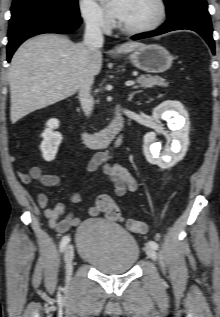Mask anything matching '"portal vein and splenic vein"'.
<instances>
[{
	"label": "portal vein and splenic vein",
	"mask_w": 220,
	"mask_h": 317,
	"mask_svg": "<svg viewBox=\"0 0 220 317\" xmlns=\"http://www.w3.org/2000/svg\"><path fill=\"white\" fill-rule=\"evenodd\" d=\"M126 86H133L134 85V81H127L125 83Z\"/></svg>",
	"instance_id": "obj_1"
}]
</instances>
